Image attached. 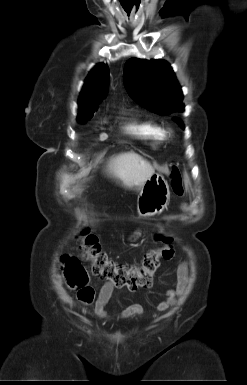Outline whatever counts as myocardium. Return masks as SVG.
I'll return each mask as SVG.
<instances>
[{
  "mask_svg": "<svg viewBox=\"0 0 247 385\" xmlns=\"http://www.w3.org/2000/svg\"><path fill=\"white\" fill-rule=\"evenodd\" d=\"M168 135H169V133H167V132H164V133H163V136H164V137H167Z\"/></svg>",
  "mask_w": 247,
  "mask_h": 385,
  "instance_id": "obj_1",
  "label": "myocardium"
}]
</instances>
